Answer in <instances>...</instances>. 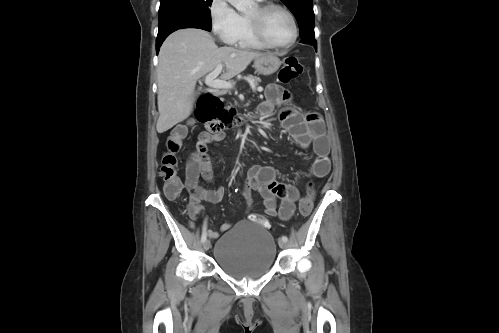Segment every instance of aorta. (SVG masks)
<instances>
[{"label": "aorta", "instance_id": "obj_1", "mask_svg": "<svg viewBox=\"0 0 499 333\" xmlns=\"http://www.w3.org/2000/svg\"><path fill=\"white\" fill-rule=\"evenodd\" d=\"M232 6H234L239 12L248 11L253 4V0H227Z\"/></svg>", "mask_w": 499, "mask_h": 333}]
</instances>
